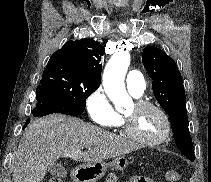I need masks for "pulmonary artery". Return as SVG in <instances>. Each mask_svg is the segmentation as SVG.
I'll return each mask as SVG.
<instances>
[{
	"mask_svg": "<svg viewBox=\"0 0 211 182\" xmlns=\"http://www.w3.org/2000/svg\"><path fill=\"white\" fill-rule=\"evenodd\" d=\"M128 91L135 97H140L146 88L145 80L141 72L130 71L126 77Z\"/></svg>",
	"mask_w": 211,
	"mask_h": 182,
	"instance_id": "e3ab8cb5",
	"label": "pulmonary artery"
}]
</instances>
